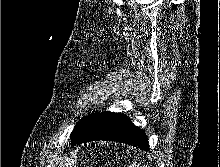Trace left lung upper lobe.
Here are the masks:
<instances>
[{"instance_id": "left-lung-upper-lobe-1", "label": "left lung upper lobe", "mask_w": 220, "mask_h": 167, "mask_svg": "<svg viewBox=\"0 0 220 167\" xmlns=\"http://www.w3.org/2000/svg\"><path fill=\"white\" fill-rule=\"evenodd\" d=\"M100 113L91 114L89 117L81 119V121L74 127L70 137L72 143L79 140L85 132L91 127Z\"/></svg>"}]
</instances>
